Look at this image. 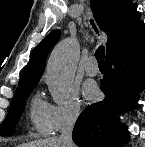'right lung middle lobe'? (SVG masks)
<instances>
[{"label": "right lung middle lobe", "mask_w": 145, "mask_h": 147, "mask_svg": "<svg viewBox=\"0 0 145 147\" xmlns=\"http://www.w3.org/2000/svg\"><path fill=\"white\" fill-rule=\"evenodd\" d=\"M34 88L35 86H30L15 91L9 114L0 129L1 135L8 136L13 133L15 125L24 111L26 99L29 97Z\"/></svg>", "instance_id": "dd1d6c3e"}]
</instances>
